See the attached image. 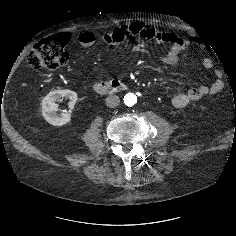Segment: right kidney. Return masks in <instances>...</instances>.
Returning <instances> with one entry per match:
<instances>
[{"label":"right kidney","instance_id":"ca27d5eb","mask_svg":"<svg viewBox=\"0 0 236 236\" xmlns=\"http://www.w3.org/2000/svg\"><path fill=\"white\" fill-rule=\"evenodd\" d=\"M61 98L69 100L70 110L66 113L57 114L58 104L57 101H60ZM77 101V94L71 90H54L47 94L41 102L42 106V115L44 119L53 126H62L67 124L71 120V109L74 108V105Z\"/></svg>","mask_w":236,"mask_h":236}]
</instances>
